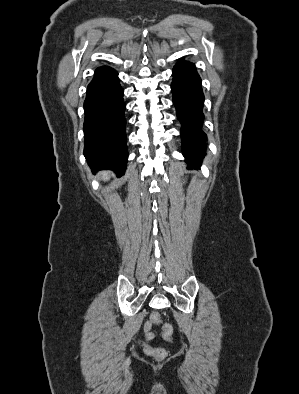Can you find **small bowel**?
Wrapping results in <instances>:
<instances>
[{
	"label": "small bowel",
	"instance_id": "1",
	"mask_svg": "<svg viewBox=\"0 0 299 394\" xmlns=\"http://www.w3.org/2000/svg\"><path fill=\"white\" fill-rule=\"evenodd\" d=\"M144 329H145V333H146L147 339H152L153 338V333L151 332V322L150 321H147L145 323Z\"/></svg>",
	"mask_w": 299,
	"mask_h": 394
}]
</instances>
